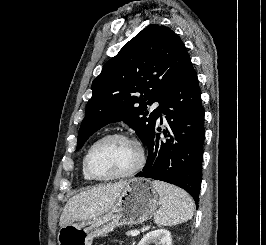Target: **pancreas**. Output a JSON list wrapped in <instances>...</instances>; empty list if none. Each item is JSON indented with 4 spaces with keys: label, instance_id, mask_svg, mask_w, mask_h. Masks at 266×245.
Wrapping results in <instances>:
<instances>
[{
    "label": "pancreas",
    "instance_id": "1",
    "mask_svg": "<svg viewBox=\"0 0 266 245\" xmlns=\"http://www.w3.org/2000/svg\"><path fill=\"white\" fill-rule=\"evenodd\" d=\"M129 233H131V231H128V233H126V235H129Z\"/></svg>",
    "mask_w": 266,
    "mask_h": 245
}]
</instances>
